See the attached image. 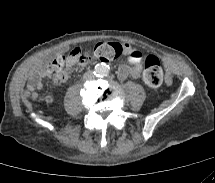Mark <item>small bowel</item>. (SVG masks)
Here are the masks:
<instances>
[{"label":"small bowel","mask_w":215,"mask_h":183,"mask_svg":"<svg viewBox=\"0 0 215 183\" xmlns=\"http://www.w3.org/2000/svg\"><path fill=\"white\" fill-rule=\"evenodd\" d=\"M126 60L128 63L122 64L118 69V77L122 80L128 77L137 78L141 73L140 63L143 60V52L138 47L125 45ZM77 63L76 59L70 55L66 70L60 75H53L48 69L37 70L29 79L27 92L31 98H39L38 90L43 86L45 80L52 79L56 83L64 82L68 72Z\"/></svg>","instance_id":"1"}]
</instances>
